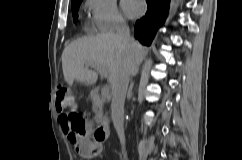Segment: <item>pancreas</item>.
<instances>
[{"label":"pancreas","mask_w":242,"mask_h":160,"mask_svg":"<svg viewBox=\"0 0 242 160\" xmlns=\"http://www.w3.org/2000/svg\"><path fill=\"white\" fill-rule=\"evenodd\" d=\"M94 112L96 113L95 115V121L97 123L105 122L107 121V117L103 116L102 112L98 110L97 108H94Z\"/></svg>","instance_id":"pancreas-1"}]
</instances>
